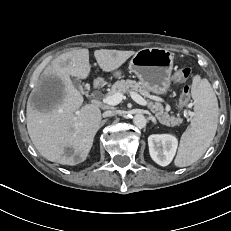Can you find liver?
<instances>
[{"label":"liver","instance_id":"obj_1","mask_svg":"<svg viewBox=\"0 0 231 231\" xmlns=\"http://www.w3.org/2000/svg\"><path fill=\"white\" fill-rule=\"evenodd\" d=\"M136 53L100 49L94 51V57L104 72H111ZM90 70L88 49L77 48L63 53L44 69L29 97L26 110L29 136L39 153L51 162L63 165L83 162L93 146L100 128L101 111L95 104L82 106L83 96L70 78L86 79ZM43 83L50 86L51 96L46 101L34 103L33 95ZM67 148H72L73 153L66 155Z\"/></svg>","mask_w":231,"mask_h":231}]
</instances>
